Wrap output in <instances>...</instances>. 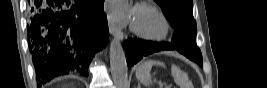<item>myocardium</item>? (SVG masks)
<instances>
[{"mask_svg":"<svg viewBox=\"0 0 267 88\" xmlns=\"http://www.w3.org/2000/svg\"><path fill=\"white\" fill-rule=\"evenodd\" d=\"M138 12L147 13L156 19L160 24V30L157 32L146 30L133 19L130 28L136 35L152 41H163L168 38L170 34V24L167 18L158 9L149 4L140 3L134 7L133 16Z\"/></svg>","mask_w":267,"mask_h":88,"instance_id":"1","label":"myocardium"}]
</instances>
